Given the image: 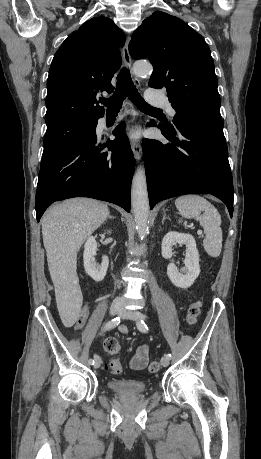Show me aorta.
Returning a JSON list of instances; mask_svg holds the SVG:
<instances>
[{
	"instance_id": "1",
	"label": "aorta",
	"mask_w": 261,
	"mask_h": 459,
	"mask_svg": "<svg viewBox=\"0 0 261 459\" xmlns=\"http://www.w3.org/2000/svg\"><path fill=\"white\" fill-rule=\"evenodd\" d=\"M133 71L135 75L139 77H147L151 75L153 67L149 63L136 62L133 65ZM131 202L136 223V230L138 236L143 239L149 232V199L144 167H139L134 174L131 190Z\"/></svg>"
}]
</instances>
